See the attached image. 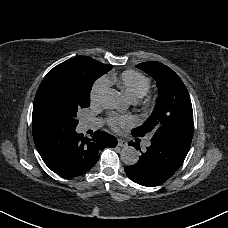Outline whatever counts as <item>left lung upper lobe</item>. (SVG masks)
Instances as JSON below:
<instances>
[{"label": "left lung upper lobe", "instance_id": "5c2ea615", "mask_svg": "<svg viewBox=\"0 0 228 228\" xmlns=\"http://www.w3.org/2000/svg\"><path fill=\"white\" fill-rule=\"evenodd\" d=\"M137 68L151 75L158 85V99L150 117L132 133L192 141L193 111L189 93L179 76L159 62H144Z\"/></svg>", "mask_w": 228, "mask_h": 228}]
</instances>
